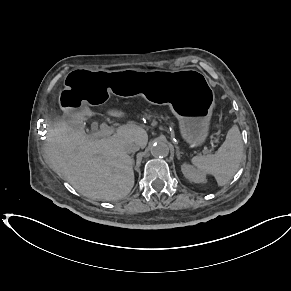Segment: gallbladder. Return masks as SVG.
<instances>
[{
  "label": "gallbladder",
  "instance_id": "1",
  "mask_svg": "<svg viewBox=\"0 0 291 291\" xmlns=\"http://www.w3.org/2000/svg\"><path fill=\"white\" fill-rule=\"evenodd\" d=\"M65 120H66V122H67L69 125H71V126H73V127H77V126H79V125L75 122V120H74L73 118L69 117V116L66 117Z\"/></svg>",
  "mask_w": 291,
  "mask_h": 291
}]
</instances>
